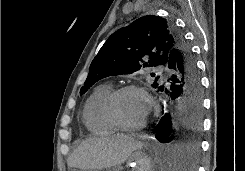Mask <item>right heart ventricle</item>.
Segmentation results:
<instances>
[{
    "label": "right heart ventricle",
    "instance_id": "right-heart-ventricle-1",
    "mask_svg": "<svg viewBox=\"0 0 245 171\" xmlns=\"http://www.w3.org/2000/svg\"><path fill=\"white\" fill-rule=\"evenodd\" d=\"M114 87L110 83L97 86L85 102L83 121L89 132L97 135H109L118 128L109 118L106 111V101Z\"/></svg>",
    "mask_w": 245,
    "mask_h": 171
}]
</instances>
